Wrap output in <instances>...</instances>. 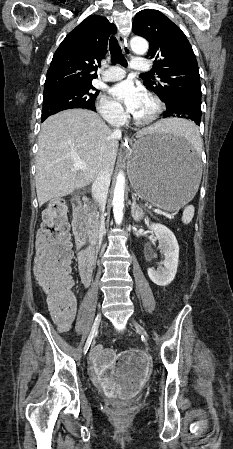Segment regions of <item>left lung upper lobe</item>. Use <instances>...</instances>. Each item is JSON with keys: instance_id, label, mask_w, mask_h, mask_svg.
<instances>
[{"instance_id": "1", "label": "left lung upper lobe", "mask_w": 233, "mask_h": 449, "mask_svg": "<svg viewBox=\"0 0 233 449\" xmlns=\"http://www.w3.org/2000/svg\"><path fill=\"white\" fill-rule=\"evenodd\" d=\"M132 30L149 42L147 58L154 60L153 72L159 82L144 81L167 107L186 103L201 108V85L198 64L182 30L161 12L144 9L138 12Z\"/></svg>"}]
</instances>
